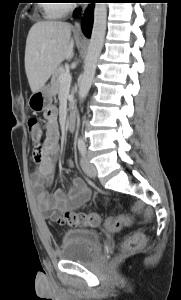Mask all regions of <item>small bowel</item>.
<instances>
[{
	"label": "small bowel",
	"instance_id": "small-bowel-1",
	"mask_svg": "<svg viewBox=\"0 0 181 300\" xmlns=\"http://www.w3.org/2000/svg\"><path fill=\"white\" fill-rule=\"evenodd\" d=\"M46 120V138L40 150L34 152L33 158L37 165V172L32 178L37 199L44 213L50 219H56L64 211L79 209L89 198L90 192L79 178L71 180L68 192L57 189L53 194H48L46 187L51 182L55 157L59 152V123L58 109L50 106L44 112ZM72 162L69 161V165Z\"/></svg>",
	"mask_w": 181,
	"mask_h": 300
}]
</instances>
